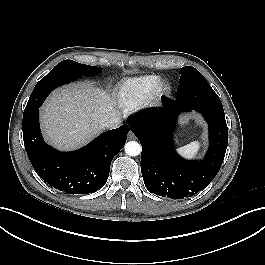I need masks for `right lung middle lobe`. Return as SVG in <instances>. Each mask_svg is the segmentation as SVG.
Listing matches in <instances>:
<instances>
[{"mask_svg":"<svg viewBox=\"0 0 265 265\" xmlns=\"http://www.w3.org/2000/svg\"><path fill=\"white\" fill-rule=\"evenodd\" d=\"M100 70L101 68L99 67L83 65L72 60L60 62L36 84L24 110V115L30 113L39 104L43 103L49 93L55 88L69 83L80 76L97 74Z\"/></svg>","mask_w":265,"mask_h":265,"instance_id":"obj_1","label":"right lung middle lobe"}]
</instances>
